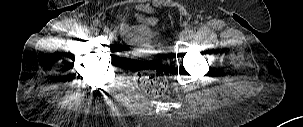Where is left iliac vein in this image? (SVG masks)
Wrapping results in <instances>:
<instances>
[{"label":"left iliac vein","instance_id":"1","mask_svg":"<svg viewBox=\"0 0 303 127\" xmlns=\"http://www.w3.org/2000/svg\"><path fill=\"white\" fill-rule=\"evenodd\" d=\"M186 38V33H185V31L184 32H181V34H180V39L181 40H184Z\"/></svg>","mask_w":303,"mask_h":127}]
</instances>
